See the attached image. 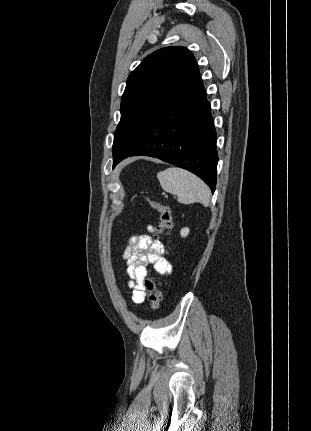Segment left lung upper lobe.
<instances>
[{
  "label": "left lung upper lobe",
  "instance_id": "1",
  "mask_svg": "<svg viewBox=\"0 0 311 431\" xmlns=\"http://www.w3.org/2000/svg\"><path fill=\"white\" fill-rule=\"evenodd\" d=\"M198 71L195 58L187 48L166 47L148 55L131 72L121 98L113 158L136 141L164 104Z\"/></svg>",
  "mask_w": 311,
  "mask_h": 431
}]
</instances>
